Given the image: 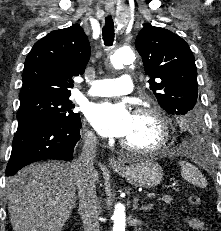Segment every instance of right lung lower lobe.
<instances>
[{
  "label": "right lung lower lobe",
  "mask_w": 221,
  "mask_h": 231,
  "mask_svg": "<svg viewBox=\"0 0 221 231\" xmlns=\"http://www.w3.org/2000/svg\"><path fill=\"white\" fill-rule=\"evenodd\" d=\"M81 122L52 116L28 118L18 123L6 175H14L24 166L47 159L72 160L80 139Z\"/></svg>",
  "instance_id": "right-lung-lower-lobe-1"
}]
</instances>
